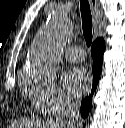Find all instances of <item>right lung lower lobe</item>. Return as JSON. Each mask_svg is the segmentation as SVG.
<instances>
[{"label": "right lung lower lobe", "instance_id": "98d812e1", "mask_svg": "<svg viewBox=\"0 0 125 128\" xmlns=\"http://www.w3.org/2000/svg\"><path fill=\"white\" fill-rule=\"evenodd\" d=\"M105 50V42L103 38H97L95 42L92 45L91 48V55L93 58V66H92V71H93V88L91 91V94L89 97H86L83 99V103L81 105V115L83 118H85L90 111L91 108V97L94 93V90L97 87L98 80L100 78L101 70H102V57L103 53Z\"/></svg>", "mask_w": 125, "mask_h": 128}]
</instances>
